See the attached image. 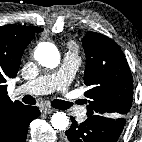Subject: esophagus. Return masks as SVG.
I'll return each instance as SVG.
<instances>
[{
    "mask_svg": "<svg viewBox=\"0 0 142 142\" xmlns=\"http://www.w3.org/2000/svg\"><path fill=\"white\" fill-rule=\"evenodd\" d=\"M55 110L53 109V108H51V107H43L42 108V112L44 113V114H51V113H53Z\"/></svg>",
    "mask_w": 142,
    "mask_h": 142,
    "instance_id": "esophagus-1",
    "label": "esophagus"
}]
</instances>
